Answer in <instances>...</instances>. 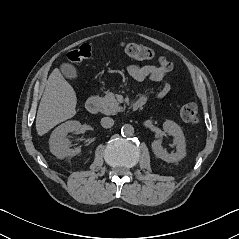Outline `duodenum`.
<instances>
[{"label": "duodenum", "mask_w": 239, "mask_h": 239, "mask_svg": "<svg viewBox=\"0 0 239 239\" xmlns=\"http://www.w3.org/2000/svg\"><path fill=\"white\" fill-rule=\"evenodd\" d=\"M145 102L142 100H137L133 106L132 109L134 111H137L139 109H141L144 106ZM86 109L89 113L91 114H95L97 113L98 109H99V99L97 96L93 95L91 96L87 102H86Z\"/></svg>", "instance_id": "duodenum-1"}]
</instances>
